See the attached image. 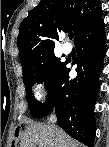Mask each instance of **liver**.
<instances>
[{
	"label": "liver",
	"mask_w": 109,
	"mask_h": 147,
	"mask_svg": "<svg viewBox=\"0 0 109 147\" xmlns=\"http://www.w3.org/2000/svg\"><path fill=\"white\" fill-rule=\"evenodd\" d=\"M20 147H79V143L58 126L32 123L22 133Z\"/></svg>",
	"instance_id": "1"
}]
</instances>
